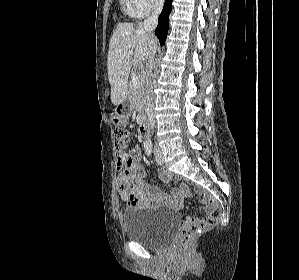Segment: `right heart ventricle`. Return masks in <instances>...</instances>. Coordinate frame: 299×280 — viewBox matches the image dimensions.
Returning a JSON list of instances; mask_svg holds the SVG:
<instances>
[{"label": "right heart ventricle", "instance_id": "right-heart-ventricle-1", "mask_svg": "<svg viewBox=\"0 0 299 280\" xmlns=\"http://www.w3.org/2000/svg\"><path fill=\"white\" fill-rule=\"evenodd\" d=\"M124 13L130 17H142V12L136 6L134 0H120Z\"/></svg>", "mask_w": 299, "mask_h": 280}]
</instances>
